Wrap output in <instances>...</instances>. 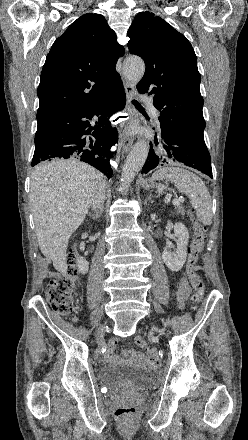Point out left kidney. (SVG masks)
Masks as SVG:
<instances>
[{"label":"left kidney","mask_w":248,"mask_h":440,"mask_svg":"<svg viewBox=\"0 0 248 440\" xmlns=\"http://www.w3.org/2000/svg\"><path fill=\"white\" fill-rule=\"evenodd\" d=\"M174 233L177 237L176 248L173 252L164 250L162 259L166 266L173 272H178L183 267L187 258V245L189 240V232L182 223L174 225Z\"/></svg>","instance_id":"left-kidney-1"}]
</instances>
